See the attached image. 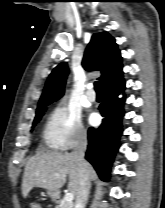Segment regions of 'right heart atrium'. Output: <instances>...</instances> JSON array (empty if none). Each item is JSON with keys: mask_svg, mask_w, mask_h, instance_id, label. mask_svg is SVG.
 Segmentation results:
<instances>
[{"mask_svg": "<svg viewBox=\"0 0 165 208\" xmlns=\"http://www.w3.org/2000/svg\"><path fill=\"white\" fill-rule=\"evenodd\" d=\"M85 140L86 131L78 109L62 103L50 113L44 129V141L49 148L68 150Z\"/></svg>", "mask_w": 165, "mask_h": 208, "instance_id": "d8ad5b80", "label": "right heart atrium"}]
</instances>
